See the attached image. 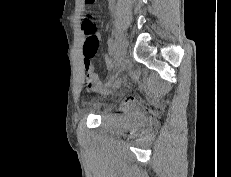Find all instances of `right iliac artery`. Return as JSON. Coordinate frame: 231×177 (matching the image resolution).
Instances as JSON below:
<instances>
[{
    "label": "right iliac artery",
    "mask_w": 231,
    "mask_h": 177,
    "mask_svg": "<svg viewBox=\"0 0 231 177\" xmlns=\"http://www.w3.org/2000/svg\"><path fill=\"white\" fill-rule=\"evenodd\" d=\"M109 55L113 57L115 55V43L112 38L108 40Z\"/></svg>",
    "instance_id": "obj_1"
}]
</instances>
